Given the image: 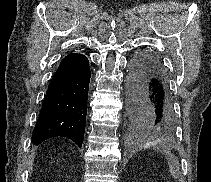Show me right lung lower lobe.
I'll return each mask as SVG.
<instances>
[{
  "mask_svg": "<svg viewBox=\"0 0 211 182\" xmlns=\"http://www.w3.org/2000/svg\"><path fill=\"white\" fill-rule=\"evenodd\" d=\"M90 82L88 59L69 54L53 75L34 128L32 143L63 136L82 146Z\"/></svg>",
  "mask_w": 211,
  "mask_h": 182,
  "instance_id": "98d812e1",
  "label": "right lung lower lobe"
}]
</instances>
